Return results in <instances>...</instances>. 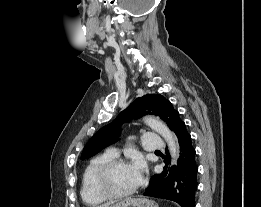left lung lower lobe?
I'll return each mask as SVG.
<instances>
[{
    "mask_svg": "<svg viewBox=\"0 0 261 207\" xmlns=\"http://www.w3.org/2000/svg\"><path fill=\"white\" fill-rule=\"evenodd\" d=\"M174 132L180 145L177 166L168 168L169 159L165 158L164 171L151 177L144 195L172 200L181 207H195V193L198 186L195 149L182 120L179 121Z\"/></svg>",
    "mask_w": 261,
    "mask_h": 207,
    "instance_id": "0a47b994",
    "label": "left lung lower lobe"
}]
</instances>
